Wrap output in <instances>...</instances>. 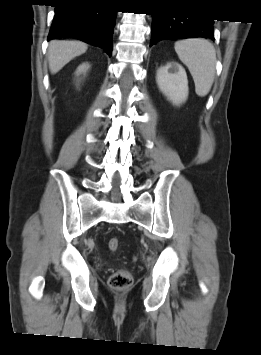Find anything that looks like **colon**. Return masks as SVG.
Listing matches in <instances>:
<instances>
[{"label":"colon","instance_id":"1","mask_svg":"<svg viewBox=\"0 0 261 355\" xmlns=\"http://www.w3.org/2000/svg\"><path fill=\"white\" fill-rule=\"evenodd\" d=\"M107 245L112 252H115L120 247V241L116 237H111L108 240ZM132 282V275L126 269L118 270L109 278V286L117 291H122L129 288L132 285Z\"/></svg>","mask_w":261,"mask_h":355}]
</instances>
